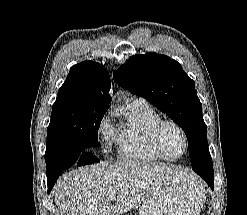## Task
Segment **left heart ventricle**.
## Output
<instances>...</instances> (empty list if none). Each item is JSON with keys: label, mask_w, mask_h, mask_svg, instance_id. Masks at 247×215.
<instances>
[{"label": "left heart ventricle", "mask_w": 247, "mask_h": 215, "mask_svg": "<svg viewBox=\"0 0 247 215\" xmlns=\"http://www.w3.org/2000/svg\"><path fill=\"white\" fill-rule=\"evenodd\" d=\"M162 145L164 151L170 156H179L184 149L181 134L174 127L168 126L162 134Z\"/></svg>", "instance_id": "1"}]
</instances>
